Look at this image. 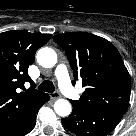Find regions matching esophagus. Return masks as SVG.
<instances>
[{"instance_id":"esophagus-1","label":"esophagus","mask_w":136,"mask_h":136,"mask_svg":"<svg viewBox=\"0 0 136 136\" xmlns=\"http://www.w3.org/2000/svg\"><path fill=\"white\" fill-rule=\"evenodd\" d=\"M49 96L52 100H56L61 97V94L59 93V91H55V92L50 93Z\"/></svg>"}]
</instances>
